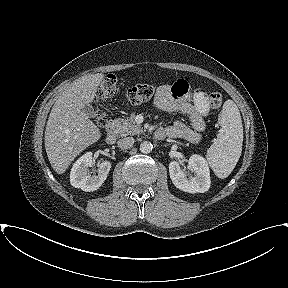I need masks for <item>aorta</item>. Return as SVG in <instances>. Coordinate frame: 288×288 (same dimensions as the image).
<instances>
[{"instance_id":"1","label":"aorta","mask_w":288,"mask_h":288,"mask_svg":"<svg viewBox=\"0 0 288 288\" xmlns=\"http://www.w3.org/2000/svg\"><path fill=\"white\" fill-rule=\"evenodd\" d=\"M153 145L151 142L144 141L140 144V151L144 154H148L152 151Z\"/></svg>"}]
</instances>
